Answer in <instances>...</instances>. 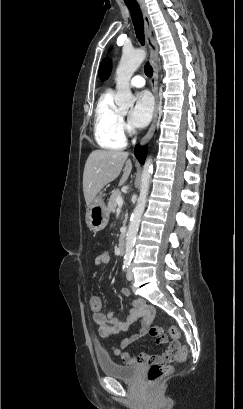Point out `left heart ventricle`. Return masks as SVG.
Returning a JSON list of instances; mask_svg holds the SVG:
<instances>
[{
  "mask_svg": "<svg viewBox=\"0 0 243 409\" xmlns=\"http://www.w3.org/2000/svg\"><path fill=\"white\" fill-rule=\"evenodd\" d=\"M122 113L124 114V113H126V111H123Z\"/></svg>",
  "mask_w": 243,
  "mask_h": 409,
  "instance_id": "1",
  "label": "left heart ventricle"
}]
</instances>
